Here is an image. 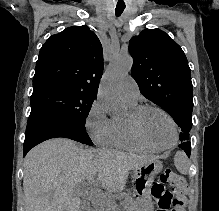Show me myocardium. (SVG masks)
I'll use <instances>...</instances> for the list:
<instances>
[{"instance_id": "1", "label": "myocardium", "mask_w": 219, "mask_h": 211, "mask_svg": "<svg viewBox=\"0 0 219 211\" xmlns=\"http://www.w3.org/2000/svg\"><path fill=\"white\" fill-rule=\"evenodd\" d=\"M147 110H157V111L161 112L162 114H164L169 119V121L173 127V131H174V141L170 145L164 146V147L156 146V145L152 144L144 135V133L141 129V125H140V119H141V116L143 115V113ZM126 121H127L128 127H129L131 133L133 134V136L140 143L151 148L152 150L165 151V150L173 148L178 142L179 133H178L177 124H176L174 118L172 117V115L160 106H157L154 104L136 105L135 107H133L130 110L129 115L126 118Z\"/></svg>"}]
</instances>
